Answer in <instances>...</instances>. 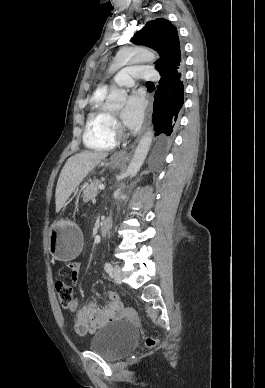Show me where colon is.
I'll use <instances>...</instances> for the list:
<instances>
[{"instance_id": "colon-1", "label": "colon", "mask_w": 265, "mask_h": 388, "mask_svg": "<svg viewBox=\"0 0 265 388\" xmlns=\"http://www.w3.org/2000/svg\"><path fill=\"white\" fill-rule=\"evenodd\" d=\"M56 293L60 304L63 307H69L73 302V289L71 285L64 279H60L55 283ZM108 298L114 304H121V297L119 293L115 291H109L107 293ZM157 339L153 337H147L145 344L148 348H153L157 345Z\"/></svg>"}]
</instances>
